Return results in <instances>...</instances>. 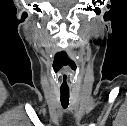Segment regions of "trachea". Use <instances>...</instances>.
<instances>
[{"mask_svg":"<svg viewBox=\"0 0 127 126\" xmlns=\"http://www.w3.org/2000/svg\"><path fill=\"white\" fill-rule=\"evenodd\" d=\"M61 105L64 109H66L69 105V89L68 88H61Z\"/></svg>","mask_w":127,"mask_h":126,"instance_id":"3493384b","label":"trachea"}]
</instances>
